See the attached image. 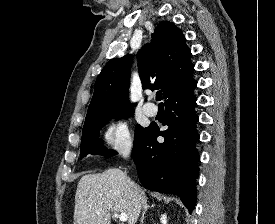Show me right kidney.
Masks as SVG:
<instances>
[{
    "instance_id": "ca27d5eb",
    "label": "right kidney",
    "mask_w": 275,
    "mask_h": 224,
    "mask_svg": "<svg viewBox=\"0 0 275 224\" xmlns=\"http://www.w3.org/2000/svg\"><path fill=\"white\" fill-rule=\"evenodd\" d=\"M160 220H161L162 224H167V216H166V214L161 215Z\"/></svg>"
}]
</instances>
